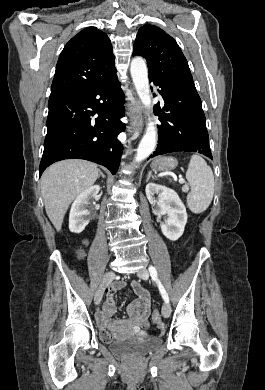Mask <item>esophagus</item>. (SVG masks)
Returning <instances> with one entry per match:
<instances>
[{"label": "esophagus", "mask_w": 265, "mask_h": 390, "mask_svg": "<svg viewBox=\"0 0 265 390\" xmlns=\"http://www.w3.org/2000/svg\"><path fill=\"white\" fill-rule=\"evenodd\" d=\"M131 112V128L132 130L142 131L144 125L143 109L138 98H135V102L130 108Z\"/></svg>", "instance_id": "obj_1"}]
</instances>
